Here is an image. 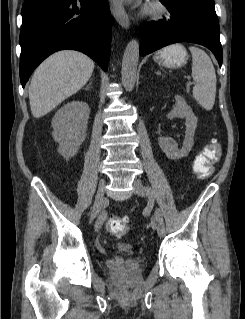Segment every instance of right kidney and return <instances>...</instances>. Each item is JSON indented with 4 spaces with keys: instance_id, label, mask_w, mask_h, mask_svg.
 <instances>
[{
    "instance_id": "obj_1",
    "label": "right kidney",
    "mask_w": 245,
    "mask_h": 319,
    "mask_svg": "<svg viewBox=\"0 0 245 319\" xmlns=\"http://www.w3.org/2000/svg\"><path fill=\"white\" fill-rule=\"evenodd\" d=\"M90 108L86 102L71 101L61 107L52 119V136L59 143L58 152L69 159L85 141Z\"/></svg>"
}]
</instances>
